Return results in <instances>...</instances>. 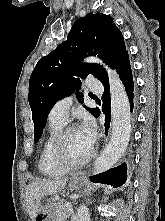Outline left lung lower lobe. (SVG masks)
<instances>
[{"instance_id": "left-lung-lower-lobe-1", "label": "left lung lower lobe", "mask_w": 165, "mask_h": 221, "mask_svg": "<svg viewBox=\"0 0 165 221\" xmlns=\"http://www.w3.org/2000/svg\"><path fill=\"white\" fill-rule=\"evenodd\" d=\"M116 72L119 74L120 79L122 80L128 98L130 102L131 111L134 107V82L132 77V71L129 61V56L126 55L120 64L118 65ZM104 86V93L102 95L103 107L102 112L105 114V129L106 135L108 134V129L110 126V114H111V101H110V88L108 79L102 83ZM98 111L95 117H98ZM91 181L94 183L110 184L114 188L122 186L127 179V165L124 162L116 168H112L104 173L99 175H94L90 177Z\"/></svg>"}]
</instances>
